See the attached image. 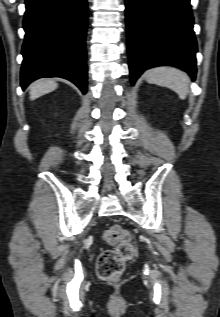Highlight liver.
I'll list each match as a JSON object with an SVG mask.
<instances>
[{
    "label": "liver",
    "mask_w": 220,
    "mask_h": 317,
    "mask_svg": "<svg viewBox=\"0 0 220 317\" xmlns=\"http://www.w3.org/2000/svg\"><path fill=\"white\" fill-rule=\"evenodd\" d=\"M57 86V83L52 79L39 80L31 86L30 99L34 100L47 93H50L54 91Z\"/></svg>",
    "instance_id": "obj_1"
}]
</instances>
